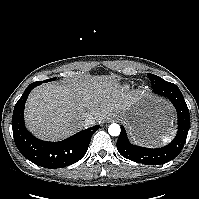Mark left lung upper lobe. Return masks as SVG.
Returning a JSON list of instances; mask_svg holds the SVG:
<instances>
[{"mask_svg": "<svg viewBox=\"0 0 199 199\" xmlns=\"http://www.w3.org/2000/svg\"><path fill=\"white\" fill-rule=\"evenodd\" d=\"M152 85L153 90L167 88L169 86L175 85L173 83L167 82L164 79L160 78L159 76L153 74H147Z\"/></svg>", "mask_w": 199, "mask_h": 199, "instance_id": "1", "label": "left lung upper lobe"}]
</instances>
